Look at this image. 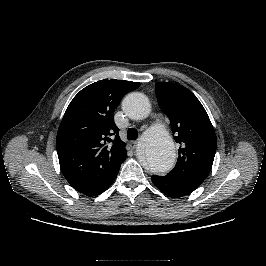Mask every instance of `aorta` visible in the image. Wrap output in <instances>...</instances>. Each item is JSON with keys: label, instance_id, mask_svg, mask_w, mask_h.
<instances>
[{"label": "aorta", "instance_id": "obj_1", "mask_svg": "<svg viewBox=\"0 0 266 266\" xmlns=\"http://www.w3.org/2000/svg\"><path fill=\"white\" fill-rule=\"evenodd\" d=\"M123 110L131 118H146L151 110L148 98L142 93H131L122 103ZM176 153L173 139L163 125H156L144 135L140 161L153 173L168 172L175 163Z\"/></svg>", "mask_w": 266, "mask_h": 266}]
</instances>
